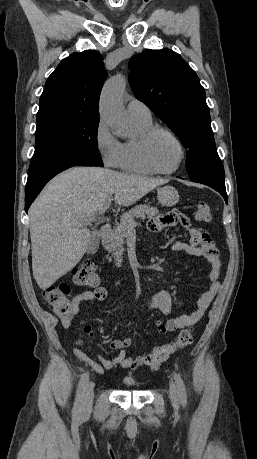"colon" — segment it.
Segmentation results:
<instances>
[{
  "label": "colon",
  "instance_id": "colon-1",
  "mask_svg": "<svg viewBox=\"0 0 257 459\" xmlns=\"http://www.w3.org/2000/svg\"><path fill=\"white\" fill-rule=\"evenodd\" d=\"M195 218L201 222H209L212 218L211 208L208 203L200 202L194 211ZM73 280L80 286H94L99 281L96 264L93 260H83L73 271ZM70 287L67 284L50 286L43 291L44 302L52 308L55 314L63 318L71 316L77 309L73 299L69 297ZM193 341V333L190 329L181 331L176 339L168 344L156 347L147 355L145 363L153 369L159 367L174 352L185 348Z\"/></svg>",
  "mask_w": 257,
  "mask_h": 459
}]
</instances>
